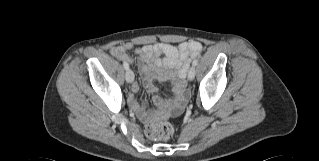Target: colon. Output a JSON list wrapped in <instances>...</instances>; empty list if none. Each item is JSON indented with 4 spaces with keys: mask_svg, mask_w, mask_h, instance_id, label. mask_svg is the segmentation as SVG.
Wrapping results in <instances>:
<instances>
[{
    "mask_svg": "<svg viewBox=\"0 0 319 161\" xmlns=\"http://www.w3.org/2000/svg\"><path fill=\"white\" fill-rule=\"evenodd\" d=\"M173 126L168 121V114L164 113L157 118H153L145 127V134L154 140H166L173 134Z\"/></svg>",
    "mask_w": 319,
    "mask_h": 161,
    "instance_id": "1",
    "label": "colon"
}]
</instances>
